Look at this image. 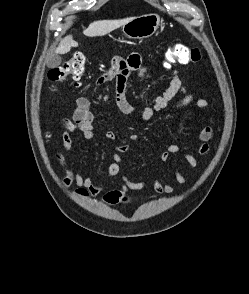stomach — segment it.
I'll list each match as a JSON object with an SVG mask.
<instances>
[{
  "instance_id": "obj_1",
  "label": "stomach",
  "mask_w": 249,
  "mask_h": 294,
  "mask_svg": "<svg viewBox=\"0 0 249 294\" xmlns=\"http://www.w3.org/2000/svg\"><path fill=\"white\" fill-rule=\"evenodd\" d=\"M160 25V17L150 13L135 17L122 26L123 34L133 40L151 37Z\"/></svg>"
}]
</instances>
